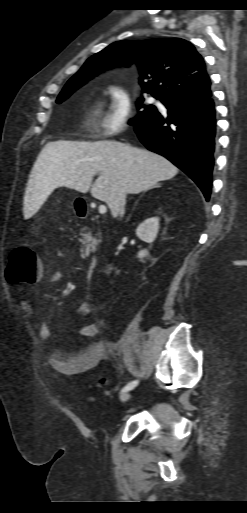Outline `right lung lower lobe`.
Here are the masks:
<instances>
[{
  "label": "right lung lower lobe",
  "instance_id": "obj_1",
  "mask_svg": "<svg viewBox=\"0 0 247 513\" xmlns=\"http://www.w3.org/2000/svg\"><path fill=\"white\" fill-rule=\"evenodd\" d=\"M159 112L134 126L140 141L184 171L208 201L211 193L216 136L214 101L210 96L163 102Z\"/></svg>",
  "mask_w": 247,
  "mask_h": 513
}]
</instances>
